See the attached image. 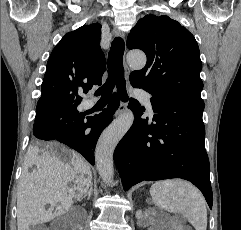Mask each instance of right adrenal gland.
Wrapping results in <instances>:
<instances>
[{
  "instance_id": "1",
  "label": "right adrenal gland",
  "mask_w": 241,
  "mask_h": 230,
  "mask_svg": "<svg viewBox=\"0 0 241 230\" xmlns=\"http://www.w3.org/2000/svg\"><path fill=\"white\" fill-rule=\"evenodd\" d=\"M92 183L89 187V189L87 190V192L79 199V201H81L82 199H84L85 197H87V199L89 200L92 194Z\"/></svg>"
}]
</instances>
